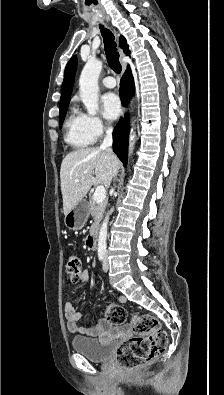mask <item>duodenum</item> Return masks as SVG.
<instances>
[{
    "mask_svg": "<svg viewBox=\"0 0 224 395\" xmlns=\"http://www.w3.org/2000/svg\"><path fill=\"white\" fill-rule=\"evenodd\" d=\"M98 225L93 224L91 231L87 237L86 244L89 249L95 250L97 247Z\"/></svg>",
    "mask_w": 224,
    "mask_h": 395,
    "instance_id": "1",
    "label": "duodenum"
}]
</instances>
